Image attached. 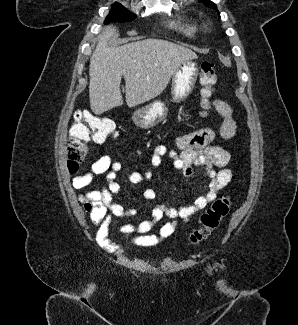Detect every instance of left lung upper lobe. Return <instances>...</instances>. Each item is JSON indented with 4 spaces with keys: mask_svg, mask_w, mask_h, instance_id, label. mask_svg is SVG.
<instances>
[{
    "mask_svg": "<svg viewBox=\"0 0 298 325\" xmlns=\"http://www.w3.org/2000/svg\"><path fill=\"white\" fill-rule=\"evenodd\" d=\"M199 1L204 3L206 6H208L210 8L216 9V5L213 2H211L210 0H199Z\"/></svg>",
    "mask_w": 298,
    "mask_h": 325,
    "instance_id": "left-lung-upper-lobe-1",
    "label": "left lung upper lobe"
}]
</instances>
